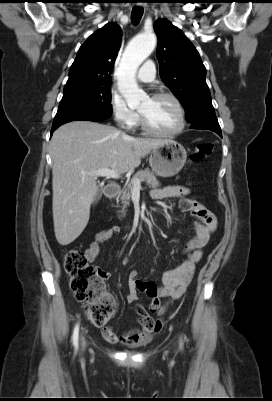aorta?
<instances>
[{"label":"aorta","instance_id":"762f6f07","mask_svg":"<svg viewBox=\"0 0 272 401\" xmlns=\"http://www.w3.org/2000/svg\"><path fill=\"white\" fill-rule=\"evenodd\" d=\"M156 45L154 34H143L135 37L126 47L118 68V90L129 107H136L147 98L139 89L135 75L142 62L153 52Z\"/></svg>","mask_w":272,"mask_h":401}]
</instances>
